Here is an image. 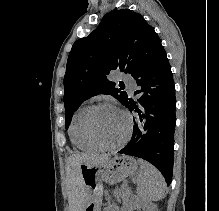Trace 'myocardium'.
Returning a JSON list of instances; mask_svg holds the SVG:
<instances>
[{
    "mask_svg": "<svg viewBox=\"0 0 219 211\" xmlns=\"http://www.w3.org/2000/svg\"><path fill=\"white\" fill-rule=\"evenodd\" d=\"M102 107H110V108L117 110L126 120V123H127L126 131L123 137L116 143L109 144V143H105L101 141L100 139H98V137L95 135L93 131L92 120H93L94 113ZM131 129H132L131 116L127 112H125L123 109H121L120 107L116 106L115 104L111 102L96 103L89 107L85 115V119H84L85 134L87 138L90 140V142H92L94 145L102 149H116L124 145L130 137Z\"/></svg>",
    "mask_w": 219,
    "mask_h": 211,
    "instance_id": "f54148a6",
    "label": "myocardium"
}]
</instances>
